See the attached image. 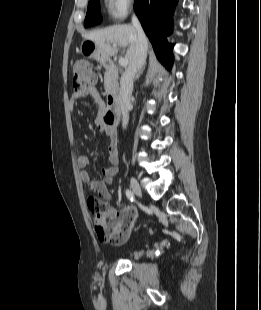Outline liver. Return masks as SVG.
Instances as JSON below:
<instances>
[{
    "mask_svg": "<svg viewBox=\"0 0 261 310\" xmlns=\"http://www.w3.org/2000/svg\"><path fill=\"white\" fill-rule=\"evenodd\" d=\"M84 38L93 41L103 57L114 56L119 47H127L125 59L130 63L135 53L137 31L131 25H116L87 33Z\"/></svg>",
    "mask_w": 261,
    "mask_h": 310,
    "instance_id": "6515ba94",
    "label": "liver"
}]
</instances>
